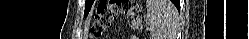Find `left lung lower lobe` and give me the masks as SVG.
<instances>
[{
    "instance_id": "0a47b994",
    "label": "left lung lower lobe",
    "mask_w": 249,
    "mask_h": 39,
    "mask_svg": "<svg viewBox=\"0 0 249 39\" xmlns=\"http://www.w3.org/2000/svg\"><path fill=\"white\" fill-rule=\"evenodd\" d=\"M172 2L176 5L177 8H179V1L173 0Z\"/></svg>"
}]
</instances>
